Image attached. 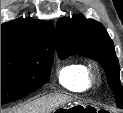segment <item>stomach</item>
<instances>
[{
	"mask_svg": "<svg viewBox=\"0 0 123 113\" xmlns=\"http://www.w3.org/2000/svg\"><path fill=\"white\" fill-rule=\"evenodd\" d=\"M87 109V105L81 101H75L67 106L58 107L55 112L60 113H82Z\"/></svg>",
	"mask_w": 123,
	"mask_h": 113,
	"instance_id": "1",
	"label": "stomach"
}]
</instances>
